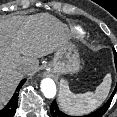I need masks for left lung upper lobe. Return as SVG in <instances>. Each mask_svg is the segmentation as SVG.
I'll list each match as a JSON object with an SVG mask.
<instances>
[{"mask_svg":"<svg viewBox=\"0 0 117 117\" xmlns=\"http://www.w3.org/2000/svg\"><path fill=\"white\" fill-rule=\"evenodd\" d=\"M113 50H114V58L117 60V53H116L115 49H113Z\"/></svg>","mask_w":117,"mask_h":117,"instance_id":"5c2ea615","label":"left lung upper lobe"}]
</instances>
